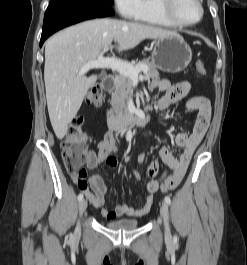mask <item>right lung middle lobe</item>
<instances>
[{
    "mask_svg": "<svg viewBox=\"0 0 247 265\" xmlns=\"http://www.w3.org/2000/svg\"><path fill=\"white\" fill-rule=\"evenodd\" d=\"M61 1H70V0H50V4ZM82 1L101 2V3H106L108 5H112L114 3V0H82Z\"/></svg>",
    "mask_w": 247,
    "mask_h": 265,
    "instance_id": "dd1d6c3e",
    "label": "right lung middle lobe"
}]
</instances>
